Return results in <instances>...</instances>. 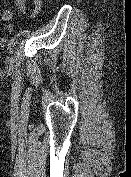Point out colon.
I'll return each mask as SVG.
<instances>
[{
	"mask_svg": "<svg viewBox=\"0 0 131 177\" xmlns=\"http://www.w3.org/2000/svg\"><path fill=\"white\" fill-rule=\"evenodd\" d=\"M40 4L42 5V0H40Z\"/></svg>",
	"mask_w": 131,
	"mask_h": 177,
	"instance_id": "5ec220e1",
	"label": "colon"
}]
</instances>
